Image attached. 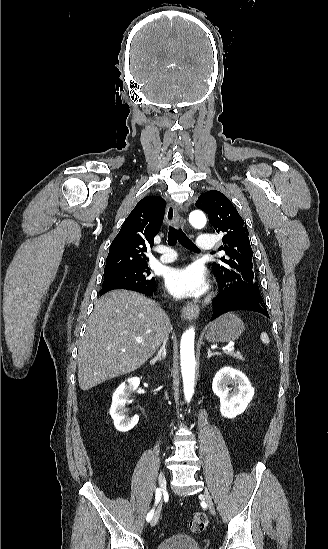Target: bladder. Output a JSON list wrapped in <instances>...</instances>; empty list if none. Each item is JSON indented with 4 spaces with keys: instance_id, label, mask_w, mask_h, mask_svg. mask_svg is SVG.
<instances>
[{
    "instance_id": "bladder-1",
    "label": "bladder",
    "mask_w": 328,
    "mask_h": 549,
    "mask_svg": "<svg viewBox=\"0 0 328 549\" xmlns=\"http://www.w3.org/2000/svg\"><path fill=\"white\" fill-rule=\"evenodd\" d=\"M156 549H200L192 535L177 533L158 543Z\"/></svg>"
}]
</instances>
